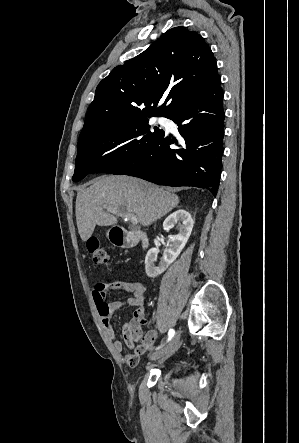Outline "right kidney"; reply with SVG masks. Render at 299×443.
Listing matches in <instances>:
<instances>
[{
	"instance_id": "right-kidney-1",
	"label": "right kidney",
	"mask_w": 299,
	"mask_h": 443,
	"mask_svg": "<svg viewBox=\"0 0 299 443\" xmlns=\"http://www.w3.org/2000/svg\"><path fill=\"white\" fill-rule=\"evenodd\" d=\"M179 224V233L170 237L166 250L159 263L155 266L158 249L151 248L145 257V271L147 276L155 278L163 273L168 266L175 261L182 249L185 247L193 229L194 221L189 212L180 209L170 214L163 222L164 230H170L175 224Z\"/></svg>"
}]
</instances>
